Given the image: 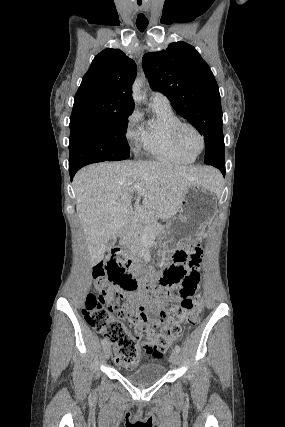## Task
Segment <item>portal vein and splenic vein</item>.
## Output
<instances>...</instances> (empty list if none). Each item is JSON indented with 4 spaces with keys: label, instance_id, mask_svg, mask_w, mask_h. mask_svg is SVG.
Instances as JSON below:
<instances>
[{
    "label": "portal vein and splenic vein",
    "instance_id": "obj_1",
    "mask_svg": "<svg viewBox=\"0 0 285 427\" xmlns=\"http://www.w3.org/2000/svg\"><path fill=\"white\" fill-rule=\"evenodd\" d=\"M134 189H136L140 194H143L142 188L139 184H135ZM136 210L138 212V215H140V216H145L148 214V212L144 208H142L141 206H137Z\"/></svg>",
    "mask_w": 285,
    "mask_h": 427
}]
</instances>
